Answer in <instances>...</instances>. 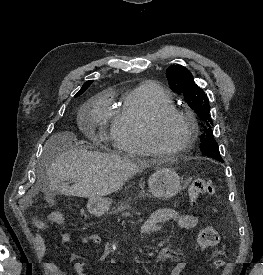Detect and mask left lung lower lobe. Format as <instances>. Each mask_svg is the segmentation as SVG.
<instances>
[{"instance_id":"0a47b994","label":"left lung lower lobe","mask_w":263,"mask_h":275,"mask_svg":"<svg viewBox=\"0 0 263 275\" xmlns=\"http://www.w3.org/2000/svg\"><path fill=\"white\" fill-rule=\"evenodd\" d=\"M218 161H220V162H223V159H221V160H218Z\"/></svg>"}]
</instances>
